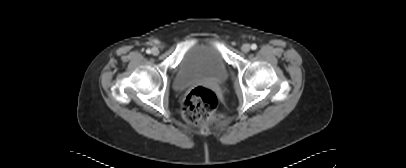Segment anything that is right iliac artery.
Wrapping results in <instances>:
<instances>
[{"label":"right iliac artery","mask_w":406,"mask_h":168,"mask_svg":"<svg viewBox=\"0 0 406 168\" xmlns=\"http://www.w3.org/2000/svg\"><path fill=\"white\" fill-rule=\"evenodd\" d=\"M146 53H147V54H150V53H151V50H150V49H147V50H146Z\"/></svg>","instance_id":"right-iliac-artery-1"}]
</instances>
